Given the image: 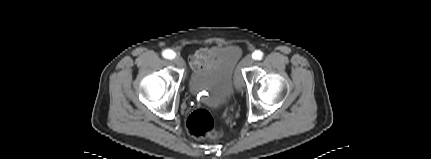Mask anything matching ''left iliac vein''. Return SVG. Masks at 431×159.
<instances>
[{"label": "left iliac vein", "mask_w": 431, "mask_h": 159, "mask_svg": "<svg viewBox=\"0 0 431 159\" xmlns=\"http://www.w3.org/2000/svg\"><path fill=\"white\" fill-rule=\"evenodd\" d=\"M253 63H254V59L252 58V56L247 55L242 60L241 66H243V67L251 66ZM243 86H244V82H243L242 78L241 77H237V79H236V88H237V90L241 91L242 88H243Z\"/></svg>", "instance_id": "left-iliac-vein-1"}]
</instances>
